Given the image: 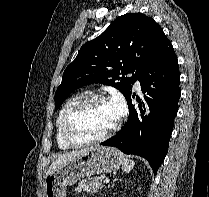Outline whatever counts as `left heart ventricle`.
<instances>
[{
    "mask_svg": "<svg viewBox=\"0 0 209 197\" xmlns=\"http://www.w3.org/2000/svg\"><path fill=\"white\" fill-rule=\"evenodd\" d=\"M116 122L108 102H96L83 109L75 117L72 134L83 140L98 137Z\"/></svg>",
    "mask_w": 209,
    "mask_h": 197,
    "instance_id": "obj_1",
    "label": "left heart ventricle"
}]
</instances>
